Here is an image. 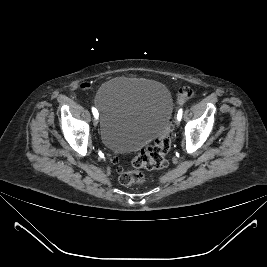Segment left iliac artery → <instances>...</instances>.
<instances>
[{
  "label": "left iliac artery",
  "instance_id": "1",
  "mask_svg": "<svg viewBox=\"0 0 267 267\" xmlns=\"http://www.w3.org/2000/svg\"><path fill=\"white\" fill-rule=\"evenodd\" d=\"M182 113H183L182 109H179L178 114H177V119L181 120Z\"/></svg>",
  "mask_w": 267,
  "mask_h": 267
}]
</instances>
